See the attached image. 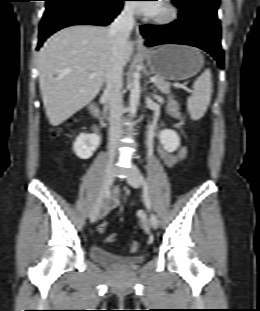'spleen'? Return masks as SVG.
Wrapping results in <instances>:
<instances>
[{"instance_id":"3e777b00","label":"spleen","mask_w":260,"mask_h":311,"mask_svg":"<svg viewBox=\"0 0 260 311\" xmlns=\"http://www.w3.org/2000/svg\"><path fill=\"white\" fill-rule=\"evenodd\" d=\"M212 74L206 69L193 83L194 93L187 98V108L193 120H199L207 111L212 94Z\"/></svg>"}]
</instances>
